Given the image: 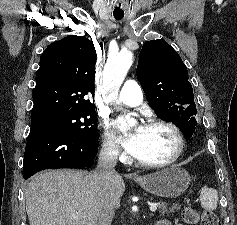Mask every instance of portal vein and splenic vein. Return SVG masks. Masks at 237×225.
<instances>
[{
  "label": "portal vein and splenic vein",
  "instance_id": "1",
  "mask_svg": "<svg viewBox=\"0 0 237 225\" xmlns=\"http://www.w3.org/2000/svg\"><path fill=\"white\" fill-rule=\"evenodd\" d=\"M157 210V204H152L151 206H150V211L151 212H155Z\"/></svg>",
  "mask_w": 237,
  "mask_h": 225
}]
</instances>
